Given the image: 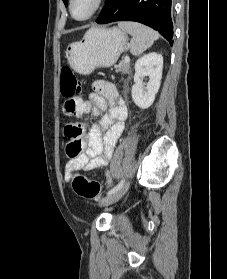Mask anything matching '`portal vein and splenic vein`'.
Returning <instances> with one entry per match:
<instances>
[{
  "instance_id": "1",
  "label": "portal vein and splenic vein",
  "mask_w": 227,
  "mask_h": 279,
  "mask_svg": "<svg viewBox=\"0 0 227 279\" xmlns=\"http://www.w3.org/2000/svg\"><path fill=\"white\" fill-rule=\"evenodd\" d=\"M124 61L126 62V63H129L130 62V58H129V56H125V58H124Z\"/></svg>"
}]
</instances>
